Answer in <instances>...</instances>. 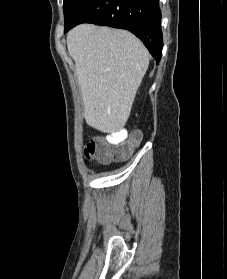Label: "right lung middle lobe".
Returning a JSON list of instances; mask_svg holds the SVG:
<instances>
[{
    "mask_svg": "<svg viewBox=\"0 0 227 279\" xmlns=\"http://www.w3.org/2000/svg\"><path fill=\"white\" fill-rule=\"evenodd\" d=\"M85 0H64L63 11L66 31L74 21L76 13Z\"/></svg>",
    "mask_w": 227,
    "mask_h": 279,
    "instance_id": "1",
    "label": "right lung middle lobe"
}]
</instances>
